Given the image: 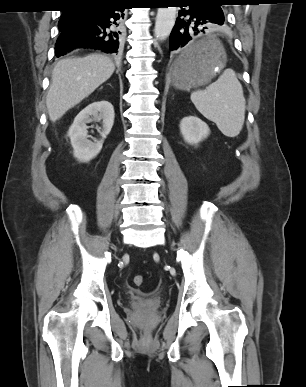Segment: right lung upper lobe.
Listing matches in <instances>:
<instances>
[{
	"label": "right lung upper lobe",
	"instance_id": "right-lung-upper-lobe-1",
	"mask_svg": "<svg viewBox=\"0 0 306 387\" xmlns=\"http://www.w3.org/2000/svg\"><path fill=\"white\" fill-rule=\"evenodd\" d=\"M114 0H65L67 7L79 8L88 5H103ZM70 9L64 10L63 13L69 12Z\"/></svg>",
	"mask_w": 306,
	"mask_h": 387
}]
</instances>
